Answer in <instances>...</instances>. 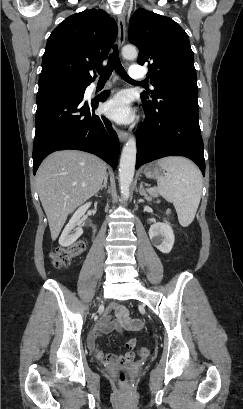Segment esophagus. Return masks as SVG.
<instances>
[{
  "mask_svg": "<svg viewBox=\"0 0 243 409\" xmlns=\"http://www.w3.org/2000/svg\"><path fill=\"white\" fill-rule=\"evenodd\" d=\"M117 24H118V30H119L118 45L119 47H122L124 45L125 38H126V23H125V16L123 13H120L118 15ZM117 135L121 142H124L128 138V133L120 129H117Z\"/></svg>",
  "mask_w": 243,
  "mask_h": 409,
  "instance_id": "esophagus-1",
  "label": "esophagus"
}]
</instances>
